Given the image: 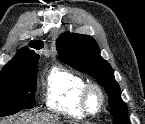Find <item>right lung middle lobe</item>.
<instances>
[{
  "instance_id": "1",
  "label": "right lung middle lobe",
  "mask_w": 145,
  "mask_h": 124,
  "mask_svg": "<svg viewBox=\"0 0 145 124\" xmlns=\"http://www.w3.org/2000/svg\"><path fill=\"white\" fill-rule=\"evenodd\" d=\"M37 62L26 71L0 76V117L35 107Z\"/></svg>"
}]
</instances>
